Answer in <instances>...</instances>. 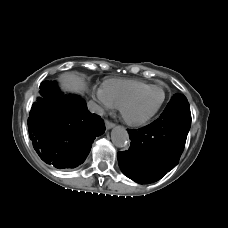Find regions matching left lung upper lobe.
Listing matches in <instances>:
<instances>
[{
    "label": "left lung upper lobe",
    "mask_w": 228,
    "mask_h": 228,
    "mask_svg": "<svg viewBox=\"0 0 228 228\" xmlns=\"http://www.w3.org/2000/svg\"><path fill=\"white\" fill-rule=\"evenodd\" d=\"M162 114L169 116H179L180 118L191 117L190 106L187 98L182 94H175L167 104Z\"/></svg>",
    "instance_id": "obj_1"
}]
</instances>
